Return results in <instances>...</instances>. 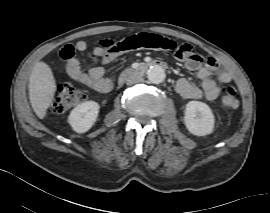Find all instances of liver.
<instances>
[{"mask_svg":"<svg viewBox=\"0 0 270 213\" xmlns=\"http://www.w3.org/2000/svg\"><path fill=\"white\" fill-rule=\"evenodd\" d=\"M29 99L35 114L43 119L53 101L56 82L51 68L45 62H37L29 78Z\"/></svg>","mask_w":270,"mask_h":213,"instance_id":"liver-1","label":"liver"}]
</instances>
